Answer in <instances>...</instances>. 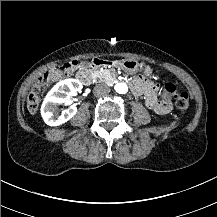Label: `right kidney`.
I'll list each match as a JSON object with an SVG mask.
<instances>
[{"label":"right kidney","instance_id":"ca27d5eb","mask_svg":"<svg viewBox=\"0 0 217 217\" xmlns=\"http://www.w3.org/2000/svg\"><path fill=\"white\" fill-rule=\"evenodd\" d=\"M83 88L82 83L77 79H65L58 82L46 95L42 106L41 115L44 122L49 126H58L71 119L77 112V107L69 106L58 113L59 104H67L69 99L67 95L74 96Z\"/></svg>","mask_w":217,"mask_h":217}]
</instances>
